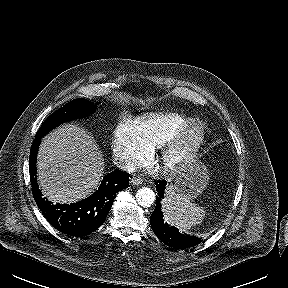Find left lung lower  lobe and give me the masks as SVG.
Returning <instances> with one entry per match:
<instances>
[{"label": "left lung lower lobe", "instance_id": "1", "mask_svg": "<svg viewBox=\"0 0 288 288\" xmlns=\"http://www.w3.org/2000/svg\"><path fill=\"white\" fill-rule=\"evenodd\" d=\"M166 184V181L156 183L158 197L155 210L150 217L152 230L164 244L174 249H186L198 245L202 242L201 238L180 233L177 228L164 221L160 201L164 197Z\"/></svg>", "mask_w": 288, "mask_h": 288}]
</instances>
